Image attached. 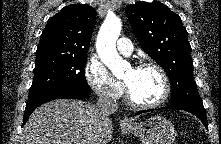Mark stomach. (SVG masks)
<instances>
[{
    "label": "stomach",
    "mask_w": 221,
    "mask_h": 144,
    "mask_svg": "<svg viewBox=\"0 0 221 144\" xmlns=\"http://www.w3.org/2000/svg\"><path fill=\"white\" fill-rule=\"evenodd\" d=\"M123 129L138 137L143 144H173L176 138L173 124L162 116L134 122Z\"/></svg>",
    "instance_id": "1"
}]
</instances>
